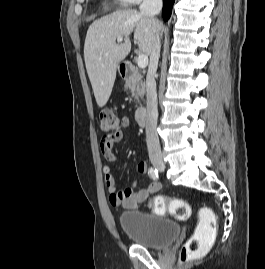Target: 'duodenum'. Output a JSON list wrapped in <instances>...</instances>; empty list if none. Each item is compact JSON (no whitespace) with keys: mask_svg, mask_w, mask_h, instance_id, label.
Returning a JSON list of instances; mask_svg holds the SVG:
<instances>
[{"mask_svg":"<svg viewBox=\"0 0 265 269\" xmlns=\"http://www.w3.org/2000/svg\"><path fill=\"white\" fill-rule=\"evenodd\" d=\"M121 75L124 80L134 82L138 79V73L131 62L124 63L121 66ZM147 118V109L140 106L135 111V120L139 125H145Z\"/></svg>","mask_w":265,"mask_h":269,"instance_id":"1","label":"duodenum"}]
</instances>
